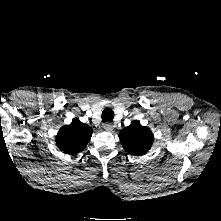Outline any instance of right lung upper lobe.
<instances>
[{"label": "right lung upper lobe", "instance_id": "right-lung-upper-lobe-1", "mask_svg": "<svg viewBox=\"0 0 221 221\" xmlns=\"http://www.w3.org/2000/svg\"><path fill=\"white\" fill-rule=\"evenodd\" d=\"M92 128L79 119H74L70 125L62 127L56 136L57 146L67 154L82 151L92 136Z\"/></svg>", "mask_w": 221, "mask_h": 221}]
</instances>
